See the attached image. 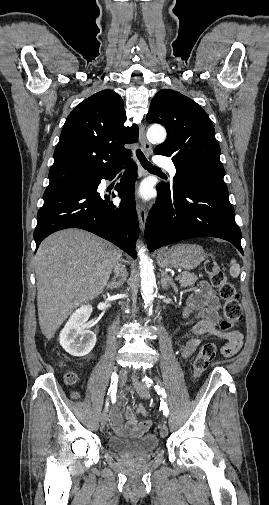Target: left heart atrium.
<instances>
[{"label":"left heart atrium","mask_w":269,"mask_h":505,"mask_svg":"<svg viewBox=\"0 0 269 505\" xmlns=\"http://www.w3.org/2000/svg\"><path fill=\"white\" fill-rule=\"evenodd\" d=\"M138 194L140 197L144 198L146 197V190L144 188H140Z\"/></svg>","instance_id":"39dd6f15"}]
</instances>
